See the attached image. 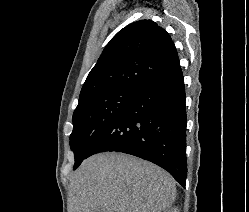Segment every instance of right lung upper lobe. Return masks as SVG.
<instances>
[{
	"instance_id": "right-lung-upper-lobe-1",
	"label": "right lung upper lobe",
	"mask_w": 249,
	"mask_h": 212,
	"mask_svg": "<svg viewBox=\"0 0 249 212\" xmlns=\"http://www.w3.org/2000/svg\"><path fill=\"white\" fill-rule=\"evenodd\" d=\"M179 67L169 34L152 20L134 22L106 45L82 87L79 104L109 92L139 93Z\"/></svg>"
}]
</instances>
